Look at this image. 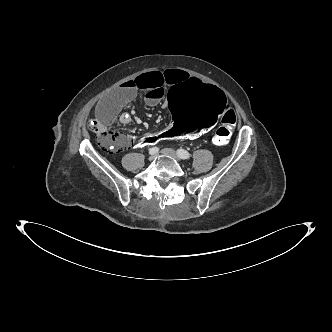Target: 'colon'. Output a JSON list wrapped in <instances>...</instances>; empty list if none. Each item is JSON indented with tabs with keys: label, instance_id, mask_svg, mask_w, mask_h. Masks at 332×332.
<instances>
[{
	"label": "colon",
	"instance_id": "1",
	"mask_svg": "<svg viewBox=\"0 0 332 332\" xmlns=\"http://www.w3.org/2000/svg\"><path fill=\"white\" fill-rule=\"evenodd\" d=\"M163 109L171 127L155 134L138 133L134 137V145L148 147L162 141L195 139L221 123L213 143L224 146L229 142L236 123V114L231 109L225 89L199 78L188 79L170 89L164 98ZM89 125L104 150L113 154L121 150L124 143L117 134L97 120H92Z\"/></svg>",
	"mask_w": 332,
	"mask_h": 332
}]
</instances>
